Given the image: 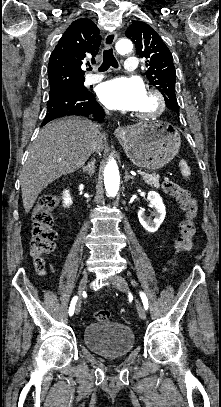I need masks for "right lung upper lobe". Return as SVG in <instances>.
<instances>
[{
    "mask_svg": "<svg viewBox=\"0 0 221 407\" xmlns=\"http://www.w3.org/2000/svg\"><path fill=\"white\" fill-rule=\"evenodd\" d=\"M101 36L90 19H78L65 31L52 52L48 64L50 87L65 86L85 80L81 66L94 61Z\"/></svg>",
    "mask_w": 221,
    "mask_h": 407,
    "instance_id": "1",
    "label": "right lung upper lobe"
}]
</instances>
